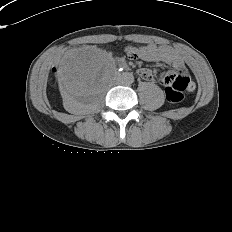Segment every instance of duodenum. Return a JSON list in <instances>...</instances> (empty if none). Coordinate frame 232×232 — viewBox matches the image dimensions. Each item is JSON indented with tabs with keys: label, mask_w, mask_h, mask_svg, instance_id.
<instances>
[{
	"label": "duodenum",
	"mask_w": 232,
	"mask_h": 232,
	"mask_svg": "<svg viewBox=\"0 0 232 232\" xmlns=\"http://www.w3.org/2000/svg\"><path fill=\"white\" fill-rule=\"evenodd\" d=\"M121 68H127V65H120Z\"/></svg>",
	"instance_id": "1"
}]
</instances>
